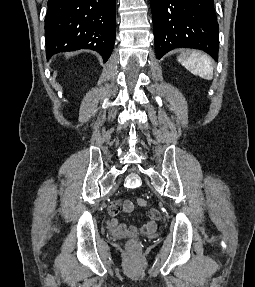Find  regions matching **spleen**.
Instances as JSON below:
<instances>
[{
    "mask_svg": "<svg viewBox=\"0 0 255 287\" xmlns=\"http://www.w3.org/2000/svg\"><path fill=\"white\" fill-rule=\"evenodd\" d=\"M178 60L182 66H185L192 74H196V76H200V78H204V80H212V60L207 54L192 52L190 56H180Z\"/></svg>",
    "mask_w": 255,
    "mask_h": 287,
    "instance_id": "3e777b00",
    "label": "spleen"
}]
</instances>
